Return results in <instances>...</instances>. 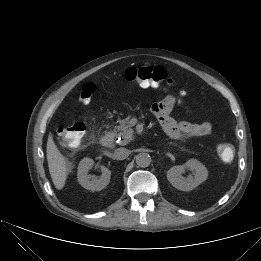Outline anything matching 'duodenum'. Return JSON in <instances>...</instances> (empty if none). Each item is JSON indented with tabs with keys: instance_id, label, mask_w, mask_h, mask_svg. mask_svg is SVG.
<instances>
[{
	"instance_id": "obj_1",
	"label": "duodenum",
	"mask_w": 261,
	"mask_h": 261,
	"mask_svg": "<svg viewBox=\"0 0 261 261\" xmlns=\"http://www.w3.org/2000/svg\"><path fill=\"white\" fill-rule=\"evenodd\" d=\"M101 144H102V146H104L106 148L112 147L114 144V135L111 132L105 133L101 137Z\"/></svg>"
}]
</instances>
